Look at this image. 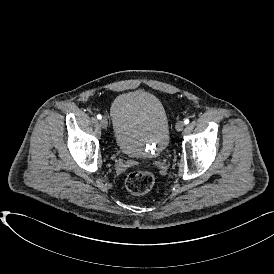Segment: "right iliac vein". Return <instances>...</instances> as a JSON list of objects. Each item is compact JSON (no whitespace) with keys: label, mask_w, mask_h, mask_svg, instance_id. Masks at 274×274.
<instances>
[{"label":"right iliac vein","mask_w":274,"mask_h":274,"mask_svg":"<svg viewBox=\"0 0 274 274\" xmlns=\"http://www.w3.org/2000/svg\"><path fill=\"white\" fill-rule=\"evenodd\" d=\"M100 125L102 128H107L108 127V120L107 118L103 117L101 120H100Z\"/></svg>","instance_id":"right-iliac-vein-1"}]
</instances>
